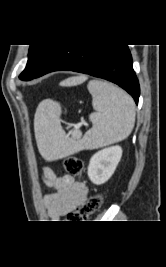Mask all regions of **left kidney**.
<instances>
[{"instance_id": "5707ae66", "label": "left kidney", "mask_w": 166, "mask_h": 267, "mask_svg": "<svg viewBox=\"0 0 166 267\" xmlns=\"http://www.w3.org/2000/svg\"><path fill=\"white\" fill-rule=\"evenodd\" d=\"M122 156L120 146H111L96 152L90 159L88 177L96 185L105 183L113 175Z\"/></svg>"}]
</instances>
